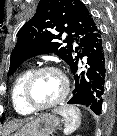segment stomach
<instances>
[{
  "label": "stomach",
  "instance_id": "stomach-1",
  "mask_svg": "<svg viewBox=\"0 0 117 136\" xmlns=\"http://www.w3.org/2000/svg\"><path fill=\"white\" fill-rule=\"evenodd\" d=\"M60 124V119L45 113L32 119L12 136H50Z\"/></svg>",
  "mask_w": 117,
  "mask_h": 136
}]
</instances>
